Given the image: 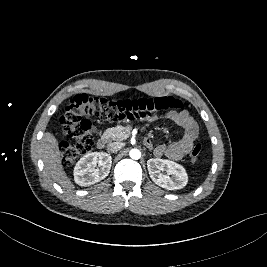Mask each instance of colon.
Here are the masks:
<instances>
[{
  "label": "colon",
  "mask_w": 267,
  "mask_h": 267,
  "mask_svg": "<svg viewBox=\"0 0 267 267\" xmlns=\"http://www.w3.org/2000/svg\"><path fill=\"white\" fill-rule=\"evenodd\" d=\"M181 108L182 102L170 96L111 100L86 94L76 95L66 103L61 117L63 133L69 140L60 147L62 164L70 166L91 150L96 132L91 117L113 121L150 119L169 115ZM200 154L201 146L194 145L190 151L191 160L198 161Z\"/></svg>",
  "instance_id": "1"
}]
</instances>
